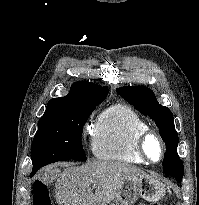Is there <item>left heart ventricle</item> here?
Segmentation results:
<instances>
[{
  "mask_svg": "<svg viewBox=\"0 0 199 205\" xmlns=\"http://www.w3.org/2000/svg\"><path fill=\"white\" fill-rule=\"evenodd\" d=\"M147 148L150 158L154 161H157L161 154V149L158 142L154 138L149 139Z\"/></svg>",
  "mask_w": 199,
  "mask_h": 205,
  "instance_id": "1",
  "label": "left heart ventricle"
}]
</instances>
